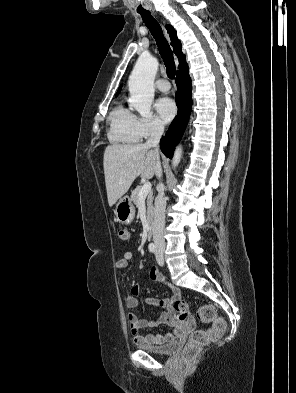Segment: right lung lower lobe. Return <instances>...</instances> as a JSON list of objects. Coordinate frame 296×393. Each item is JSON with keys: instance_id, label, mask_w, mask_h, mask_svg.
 Returning <instances> with one entry per match:
<instances>
[{"instance_id": "right-lung-lower-lobe-1", "label": "right lung lower lobe", "mask_w": 296, "mask_h": 393, "mask_svg": "<svg viewBox=\"0 0 296 393\" xmlns=\"http://www.w3.org/2000/svg\"><path fill=\"white\" fill-rule=\"evenodd\" d=\"M176 85L178 91L175 100L178 106V115L173 120L166 135L160 141L162 152L170 159L173 156L175 146L180 141L186 128L192 107L191 79L187 64L182 66L177 72Z\"/></svg>"}]
</instances>
